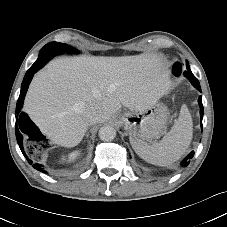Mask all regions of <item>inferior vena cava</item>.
Instances as JSON below:
<instances>
[{
    "label": "inferior vena cava",
    "mask_w": 227,
    "mask_h": 227,
    "mask_svg": "<svg viewBox=\"0 0 227 227\" xmlns=\"http://www.w3.org/2000/svg\"><path fill=\"white\" fill-rule=\"evenodd\" d=\"M86 116H87V121H88L89 124H94L98 120L97 111L94 110V109L89 110L87 112Z\"/></svg>",
    "instance_id": "1"
}]
</instances>
